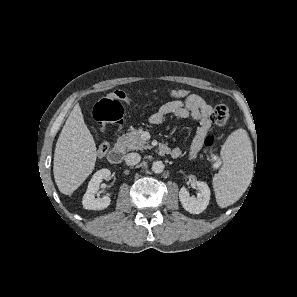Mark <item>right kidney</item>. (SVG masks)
Here are the masks:
<instances>
[{
	"label": "right kidney",
	"instance_id": "1",
	"mask_svg": "<svg viewBox=\"0 0 297 297\" xmlns=\"http://www.w3.org/2000/svg\"><path fill=\"white\" fill-rule=\"evenodd\" d=\"M111 172L108 169H101L97 171L91 178L86 193L83 196L82 204L85 209L88 210H104L110 203L111 199L109 196H104L101 199H96L95 194L99 190L100 183L102 180H109Z\"/></svg>",
	"mask_w": 297,
	"mask_h": 297
}]
</instances>
